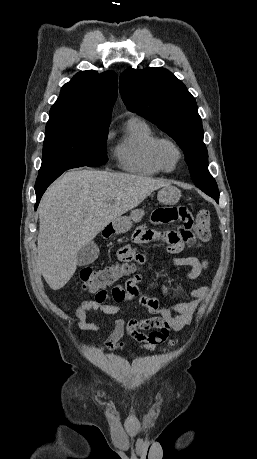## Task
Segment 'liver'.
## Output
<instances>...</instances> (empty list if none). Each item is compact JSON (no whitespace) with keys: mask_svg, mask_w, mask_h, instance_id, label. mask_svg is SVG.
Instances as JSON below:
<instances>
[{"mask_svg":"<svg viewBox=\"0 0 257 459\" xmlns=\"http://www.w3.org/2000/svg\"><path fill=\"white\" fill-rule=\"evenodd\" d=\"M162 179L99 170H74L52 184L39 205L37 265L53 290L77 268L78 251L110 222L135 208Z\"/></svg>","mask_w":257,"mask_h":459,"instance_id":"obj_1","label":"liver"}]
</instances>
